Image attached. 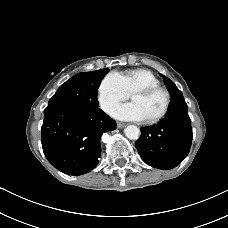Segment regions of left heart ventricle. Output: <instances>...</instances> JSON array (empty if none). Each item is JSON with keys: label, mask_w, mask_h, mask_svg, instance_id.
I'll return each instance as SVG.
<instances>
[{"label": "left heart ventricle", "mask_w": 228, "mask_h": 228, "mask_svg": "<svg viewBox=\"0 0 228 228\" xmlns=\"http://www.w3.org/2000/svg\"><path fill=\"white\" fill-rule=\"evenodd\" d=\"M131 101L139 106L145 119L155 117L164 106V97L160 93L149 96L132 95Z\"/></svg>", "instance_id": "left-heart-ventricle-1"}]
</instances>
